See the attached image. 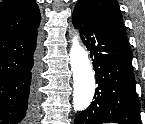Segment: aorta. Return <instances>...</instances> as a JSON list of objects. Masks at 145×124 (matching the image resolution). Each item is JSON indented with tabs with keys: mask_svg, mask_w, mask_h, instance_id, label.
<instances>
[{
	"mask_svg": "<svg viewBox=\"0 0 145 124\" xmlns=\"http://www.w3.org/2000/svg\"><path fill=\"white\" fill-rule=\"evenodd\" d=\"M70 65L73 73V107L83 111L91 104L95 93V75L87 51L81 46L75 31L70 49Z\"/></svg>",
	"mask_w": 145,
	"mask_h": 124,
	"instance_id": "aorta-1",
	"label": "aorta"
}]
</instances>
